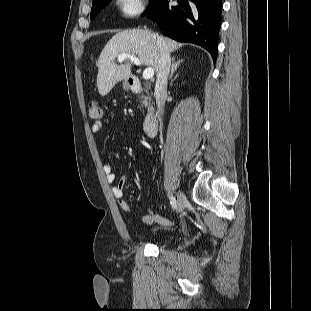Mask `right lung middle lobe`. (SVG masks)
<instances>
[{
	"label": "right lung middle lobe",
	"instance_id": "dd1d6c3e",
	"mask_svg": "<svg viewBox=\"0 0 311 311\" xmlns=\"http://www.w3.org/2000/svg\"><path fill=\"white\" fill-rule=\"evenodd\" d=\"M110 0H95L92 4L91 9V16L90 18L93 19L99 11L109 2ZM160 0H151V4L149 9L145 12L147 13L149 10H151Z\"/></svg>",
	"mask_w": 311,
	"mask_h": 311
}]
</instances>
